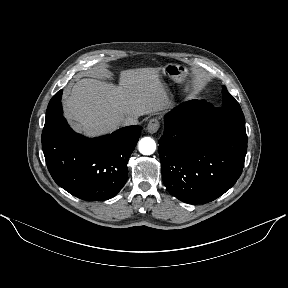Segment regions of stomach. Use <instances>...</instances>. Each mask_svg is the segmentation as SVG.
<instances>
[{
  "label": "stomach",
  "mask_w": 288,
  "mask_h": 288,
  "mask_svg": "<svg viewBox=\"0 0 288 288\" xmlns=\"http://www.w3.org/2000/svg\"><path fill=\"white\" fill-rule=\"evenodd\" d=\"M163 73L176 83H182L187 76V68L181 64L169 63L163 67Z\"/></svg>",
  "instance_id": "stomach-1"
}]
</instances>
